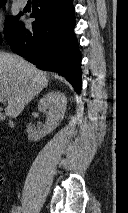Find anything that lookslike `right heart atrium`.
<instances>
[{
	"label": "right heart atrium",
	"mask_w": 128,
	"mask_h": 213,
	"mask_svg": "<svg viewBox=\"0 0 128 213\" xmlns=\"http://www.w3.org/2000/svg\"><path fill=\"white\" fill-rule=\"evenodd\" d=\"M3 25H4V16L3 13L0 11V33L2 32Z\"/></svg>",
	"instance_id": "obj_1"
}]
</instances>
